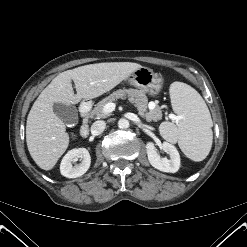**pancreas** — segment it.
<instances>
[{"label": "pancreas", "mask_w": 247, "mask_h": 247, "mask_svg": "<svg viewBox=\"0 0 247 247\" xmlns=\"http://www.w3.org/2000/svg\"><path fill=\"white\" fill-rule=\"evenodd\" d=\"M128 98L129 102L132 103L138 110L141 117H150L152 119H158L161 113L160 107H156L153 110L147 111L148 99L142 90L137 89H119L100 102H98L94 109L90 112L89 116L91 118H106L109 113L104 112V106L107 103L113 102L117 99Z\"/></svg>", "instance_id": "cf45deb5"}]
</instances>
